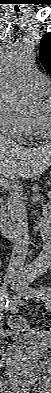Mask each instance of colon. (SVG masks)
Wrapping results in <instances>:
<instances>
[{"instance_id": "1", "label": "colon", "mask_w": 51, "mask_h": 393, "mask_svg": "<svg viewBox=\"0 0 51 393\" xmlns=\"http://www.w3.org/2000/svg\"><path fill=\"white\" fill-rule=\"evenodd\" d=\"M8 324L12 329L19 331H25L28 327L27 321L18 315H11ZM8 342H11V338L8 339Z\"/></svg>"}]
</instances>
